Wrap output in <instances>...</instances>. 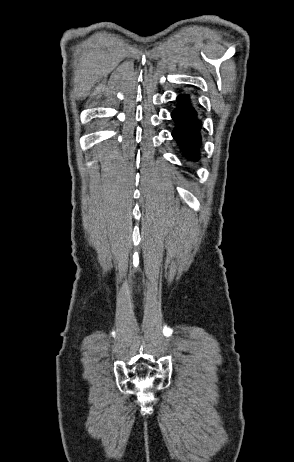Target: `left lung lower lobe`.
Wrapping results in <instances>:
<instances>
[{
	"label": "left lung lower lobe",
	"instance_id": "obj_1",
	"mask_svg": "<svg viewBox=\"0 0 294 462\" xmlns=\"http://www.w3.org/2000/svg\"><path fill=\"white\" fill-rule=\"evenodd\" d=\"M178 100L179 105L171 115L176 123L172 135L187 157L194 160L198 156L201 123L197 120L196 111L189 104L188 96L181 95Z\"/></svg>",
	"mask_w": 294,
	"mask_h": 462
}]
</instances>
